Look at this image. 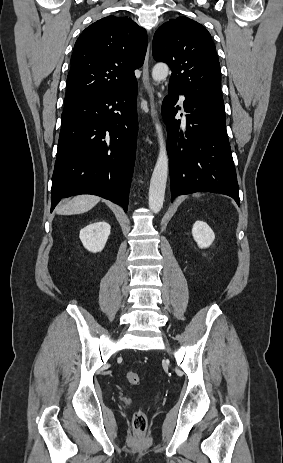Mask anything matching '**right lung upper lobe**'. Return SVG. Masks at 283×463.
<instances>
[{
  "instance_id": "right-lung-upper-lobe-1",
  "label": "right lung upper lobe",
  "mask_w": 283,
  "mask_h": 463,
  "mask_svg": "<svg viewBox=\"0 0 283 463\" xmlns=\"http://www.w3.org/2000/svg\"><path fill=\"white\" fill-rule=\"evenodd\" d=\"M146 49V31L128 17L108 16L87 27L71 57L64 109L136 82Z\"/></svg>"
}]
</instances>
